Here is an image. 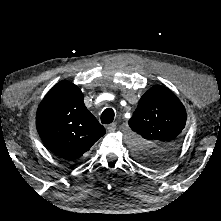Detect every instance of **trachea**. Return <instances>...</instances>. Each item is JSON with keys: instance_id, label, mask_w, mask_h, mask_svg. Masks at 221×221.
Returning a JSON list of instances; mask_svg holds the SVG:
<instances>
[{"instance_id": "obj_1", "label": "trachea", "mask_w": 221, "mask_h": 221, "mask_svg": "<svg viewBox=\"0 0 221 221\" xmlns=\"http://www.w3.org/2000/svg\"><path fill=\"white\" fill-rule=\"evenodd\" d=\"M114 110L111 108H106L101 114V122L103 124H110L114 120Z\"/></svg>"}]
</instances>
